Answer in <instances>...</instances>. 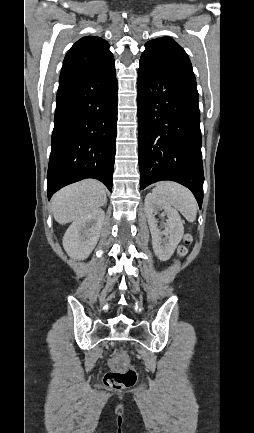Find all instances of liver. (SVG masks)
Returning a JSON list of instances; mask_svg holds the SVG:
<instances>
[{"instance_id":"1","label":"liver","mask_w":254,"mask_h":433,"mask_svg":"<svg viewBox=\"0 0 254 433\" xmlns=\"http://www.w3.org/2000/svg\"><path fill=\"white\" fill-rule=\"evenodd\" d=\"M106 203L102 183L88 179L59 190L51 200V210L60 224L72 222Z\"/></svg>"}]
</instances>
